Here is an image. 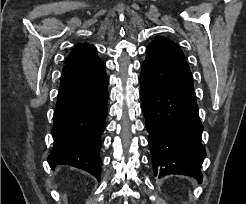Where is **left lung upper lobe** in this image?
Returning <instances> with one entry per match:
<instances>
[{
  "label": "left lung upper lobe",
  "instance_id": "5c2ea615",
  "mask_svg": "<svg viewBox=\"0 0 246 204\" xmlns=\"http://www.w3.org/2000/svg\"><path fill=\"white\" fill-rule=\"evenodd\" d=\"M149 45L158 46L177 56L184 58V54L182 50L178 47L177 44H175L173 41L169 39L159 37V38H156L154 41H152Z\"/></svg>",
  "mask_w": 246,
  "mask_h": 204
}]
</instances>
